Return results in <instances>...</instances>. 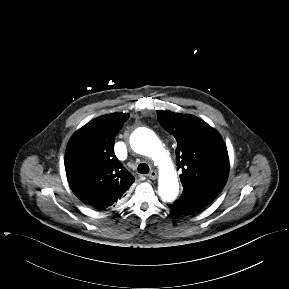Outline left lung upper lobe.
<instances>
[{
    "mask_svg": "<svg viewBox=\"0 0 289 289\" xmlns=\"http://www.w3.org/2000/svg\"><path fill=\"white\" fill-rule=\"evenodd\" d=\"M161 126L177 141L176 161L182 169L181 197L211 203L224 188L229 173L227 148L221 135L190 114L157 111Z\"/></svg>",
    "mask_w": 289,
    "mask_h": 289,
    "instance_id": "left-lung-upper-lobe-1",
    "label": "left lung upper lobe"
}]
</instances>
